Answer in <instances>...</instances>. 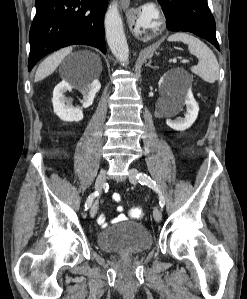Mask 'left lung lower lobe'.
<instances>
[{"label":"left lung lower lobe","mask_w":247,"mask_h":299,"mask_svg":"<svg viewBox=\"0 0 247 299\" xmlns=\"http://www.w3.org/2000/svg\"><path fill=\"white\" fill-rule=\"evenodd\" d=\"M158 2L163 8L168 30L192 32L220 50L215 35V20L207 0H158Z\"/></svg>","instance_id":"0a47b994"}]
</instances>
